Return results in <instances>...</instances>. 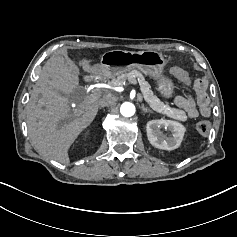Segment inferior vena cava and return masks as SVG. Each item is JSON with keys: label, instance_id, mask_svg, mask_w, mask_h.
Listing matches in <instances>:
<instances>
[{"label": "inferior vena cava", "instance_id": "1", "mask_svg": "<svg viewBox=\"0 0 237 237\" xmlns=\"http://www.w3.org/2000/svg\"><path fill=\"white\" fill-rule=\"evenodd\" d=\"M116 103V98L112 96H107L101 99L100 106L101 107H106V106H111Z\"/></svg>", "mask_w": 237, "mask_h": 237}]
</instances>
